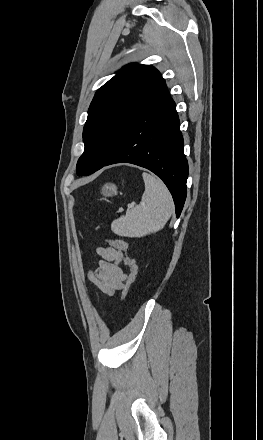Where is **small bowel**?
<instances>
[{
    "label": "small bowel",
    "mask_w": 263,
    "mask_h": 440,
    "mask_svg": "<svg viewBox=\"0 0 263 440\" xmlns=\"http://www.w3.org/2000/svg\"><path fill=\"white\" fill-rule=\"evenodd\" d=\"M100 257L98 267L89 272V279L107 296L113 295L124 287L127 279L126 272L120 264L123 260L122 253L113 247L95 248Z\"/></svg>",
    "instance_id": "small-bowel-1"
}]
</instances>
